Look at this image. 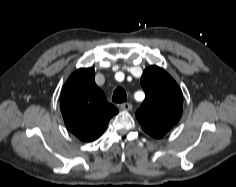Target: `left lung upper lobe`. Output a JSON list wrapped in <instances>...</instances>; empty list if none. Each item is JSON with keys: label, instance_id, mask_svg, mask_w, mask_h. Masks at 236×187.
I'll use <instances>...</instances> for the list:
<instances>
[{"label": "left lung upper lobe", "instance_id": "obj_1", "mask_svg": "<svg viewBox=\"0 0 236 187\" xmlns=\"http://www.w3.org/2000/svg\"><path fill=\"white\" fill-rule=\"evenodd\" d=\"M141 85L145 100L136 117L147 134L162 138L181 118L182 91L173 78L158 66L144 70Z\"/></svg>", "mask_w": 236, "mask_h": 187}]
</instances>
